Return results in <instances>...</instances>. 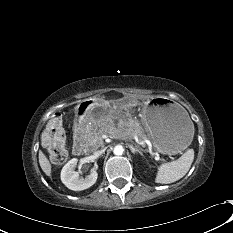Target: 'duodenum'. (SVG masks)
Segmentation results:
<instances>
[{
  "mask_svg": "<svg viewBox=\"0 0 233 233\" xmlns=\"http://www.w3.org/2000/svg\"><path fill=\"white\" fill-rule=\"evenodd\" d=\"M85 107L88 110L93 109V107H94L93 101H91V100L86 101ZM79 134H80V127L76 126L75 132H74L75 136H74V144H73V151L76 154H81V152L83 150V145H82L81 141L77 139Z\"/></svg>",
  "mask_w": 233,
  "mask_h": 233,
  "instance_id": "410a0bca",
  "label": "duodenum"
}]
</instances>
